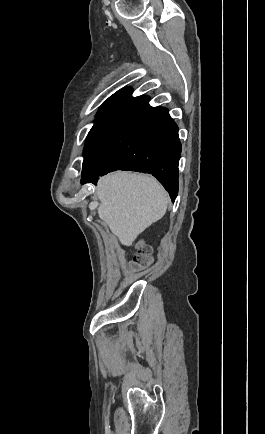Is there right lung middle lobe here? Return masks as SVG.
<instances>
[{
	"instance_id": "1",
	"label": "right lung middle lobe",
	"mask_w": 265,
	"mask_h": 434,
	"mask_svg": "<svg viewBox=\"0 0 265 434\" xmlns=\"http://www.w3.org/2000/svg\"><path fill=\"white\" fill-rule=\"evenodd\" d=\"M123 91L124 90H120V91L116 92L109 99H107L105 101V103L103 104V106L100 108V110L96 116L95 124L93 125V127L90 130V132L87 136V139H86V144H85V148H84V157H86L90 146L92 145L93 141L95 140L96 136L98 135V133L100 131L101 126L105 122L107 116L111 112L112 108L116 104L117 100L119 99V97L121 96Z\"/></svg>"
}]
</instances>
